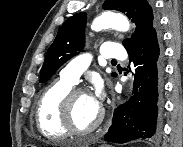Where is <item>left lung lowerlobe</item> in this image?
I'll return each instance as SVG.
<instances>
[{"label": "left lung lower lobe", "mask_w": 183, "mask_h": 147, "mask_svg": "<svg viewBox=\"0 0 183 147\" xmlns=\"http://www.w3.org/2000/svg\"><path fill=\"white\" fill-rule=\"evenodd\" d=\"M126 50L137 67L136 76L133 96L115 110L104 137L114 143L151 138L161 129L164 61L159 26Z\"/></svg>", "instance_id": "obj_1"}]
</instances>
